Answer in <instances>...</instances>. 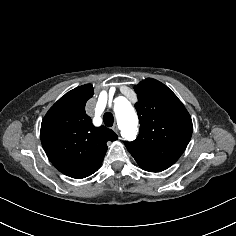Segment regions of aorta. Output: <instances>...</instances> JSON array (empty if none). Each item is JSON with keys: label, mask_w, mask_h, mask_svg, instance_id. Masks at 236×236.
Returning <instances> with one entry per match:
<instances>
[{"label": "aorta", "mask_w": 236, "mask_h": 236, "mask_svg": "<svg viewBox=\"0 0 236 236\" xmlns=\"http://www.w3.org/2000/svg\"><path fill=\"white\" fill-rule=\"evenodd\" d=\"M114 112L122 136L128 140H133L138 130V117L131 103L124 97L117 98Z\"/></svg>", "instance_id": "aorta-1"}]
</instances>
